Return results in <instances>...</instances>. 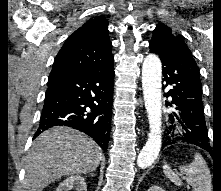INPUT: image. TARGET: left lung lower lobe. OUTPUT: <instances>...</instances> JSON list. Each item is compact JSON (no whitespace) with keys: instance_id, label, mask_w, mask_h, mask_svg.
I'll return each instance as SVG.
<instances>
[{"instance_id":"left-lung-lower-lobe-1","label":"left lung lower lobe","mask_w":221,"mask_h":191,"mask_svg":"<svg viewBox=\"0 0 221 191\" xmlns=\"http://www.w3.org/2000/svg\"><path fill=\"white\" fill-rule=\"evenodd\" d=\"M150 52L159 55L163 64V81L170 90L164 94L172 97L176 112L170 115V125L162 148L175 143H189L210 151L205 123L200 72L192 53L183 40L173 46L149 45ZM163 87V88H165Z\"/></svg>"}]
</instances>
